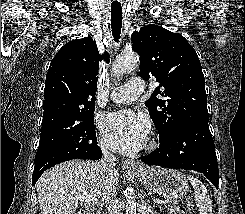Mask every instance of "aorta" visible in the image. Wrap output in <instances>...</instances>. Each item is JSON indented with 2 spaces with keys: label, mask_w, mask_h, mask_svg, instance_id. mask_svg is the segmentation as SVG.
I'll list each match as a JSON object with an SVG mask.
<instances>
[{
  "label": "aorta",
  "mask_w": 245,
  "mask_h": 214,
  "mask_svg": "<svg viewBox=\"0 0 245 214\" xmlns=\"http://www.w3.org/2000/svg\"><path fill=\"white\" fill-rule=\"evenodd\" d=\"M139 56L135 53L124 54L118 57L112 64L111 72L114 76H120L135 69L139 65ZM126 193V214H137L134 190L128 187Z\"/></svg>",
  "instance_id": "obj_1"
}]
</instances>
